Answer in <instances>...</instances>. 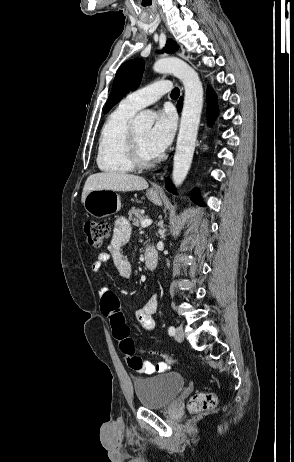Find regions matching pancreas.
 <instances>
[{
    "label": "pancreas",
    "instance_id": "1",
    "mask_svg": "<svg viewBox=\"0 0 294 462\" xmlns=\"http://www.w3.org/2000/svg\"><path fill=\"white\" fill-rule=\"evenodd\" d=\"M144 219L143 213L139 209L132 208L129 211V220L136 226Z\"/></svg>",
    "mask_w": 294,
    "mask_h": 462
}]
</instances>
